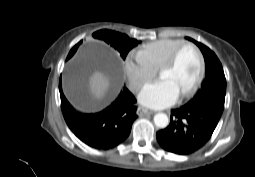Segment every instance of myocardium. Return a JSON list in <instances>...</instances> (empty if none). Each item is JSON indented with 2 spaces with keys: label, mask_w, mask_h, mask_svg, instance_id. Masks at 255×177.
Segmentation results:
<instances>
[{
  "label": "myocardium",
  "mask_w": 255,
  "mask_h": 177,
  "mask_svg": "<svg viewBox=\"0 0 255 177\" xmlns=\"http://www.w3.org/2000/svg\"><path fill=\"white\" fill-rule=\"evenodd\" d=\"M186 47L193 48L195 52L197 53L199 58V69L193 84L187 90H185L182 94H180L182 98L188 97L191 94H193L202 82L204 71H205V59L200 48L192 42L184 41L172 52V54L167 59V61H165L159 68V74L163 71L171 69L176 64L181 51Z\"/></svg>",
  "instance_id": "myocardium-1"
}]
</instances>
